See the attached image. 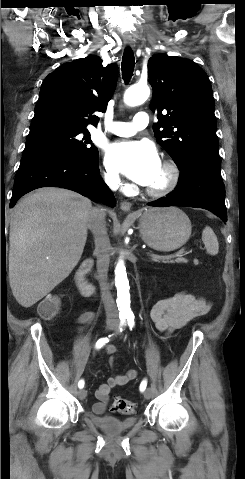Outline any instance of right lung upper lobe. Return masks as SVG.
Returning <instances> with one entry per match:
<instances>
[{
	"instance_id": "cb5924a9",
	"label": "right lung upper lobe",
	"mask_w": 245,
	"mask_h": 479,
	"mask_svg": "<svg viewBox=\"0 0 245 479\" xmlns=\"http://www.w3.org/2000/svg\"><path fill=\"white\" fill-rule=\"evenodd\" d=\"M117 83L114 64L103 67L97 56L76 59L59 66L42 83L30 128L65 125L86 129L97 126L96 111L105 112Z\"/></svg>"
}]
</instances>
